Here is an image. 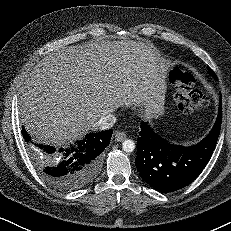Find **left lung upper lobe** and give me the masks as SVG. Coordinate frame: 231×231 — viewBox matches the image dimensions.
<instances>
[{
  "mask_svg": "<svg viewBox=\"0 0 231 231\" xmlns=\"http://www.w3.org/2000/svg\"><path fill=\"white\" fill-rule=\"evenodd\" d=\"M208 73H209L211 76L215 77V73H214L212 70H208Z\"/></svg>",
  "mask_w": 231,
  "mask_h": 231,
  "instance_id": "left-lung-upper-lobe-1",
  "label": "left lung upper lobe"
}]
</instances>
